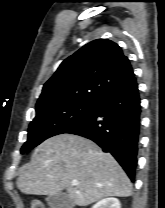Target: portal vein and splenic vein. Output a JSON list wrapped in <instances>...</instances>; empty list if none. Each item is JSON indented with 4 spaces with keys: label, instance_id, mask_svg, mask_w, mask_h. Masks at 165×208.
<instances>
[{
    "label": "portal vein and splenic vein",
    "instance_id": "portal-vein-and-splenic-vein-1",
    "mask_svg": "<svg viewBox=\"0 0 165 208\" xmlns=\"http://www.w3.org/2000/svg\"><path fill=\"white\" fill-rule=\"evenodd\" d=\"M72 185H74V186L78 185V181H76V180L72 181Z\"/></svg>",
    "mask_w": 165,
    "mask_h": 208
}]
</instances>
